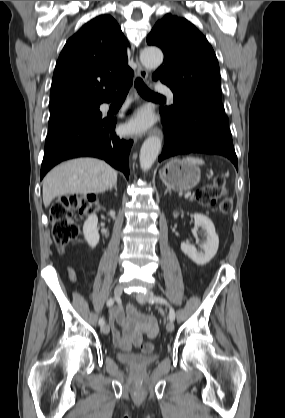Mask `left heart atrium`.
<instances>
[{"label":"left heart atrium","mask_w":285,"mask_h":418,"mask_svg":"<svg viewBox=\"0 0 285 418\" xmlns=\"http://www.w3.org/2000/svg\"><path fill=\"white\" fill-rule=\"evenodd\" d=\"M152 122L153 119L150 112L140 110L127 122L125 129L129 134H140L145 132L152 125Z\"/></svg>","instance_id":"39dd6f15"}]
</instances>
